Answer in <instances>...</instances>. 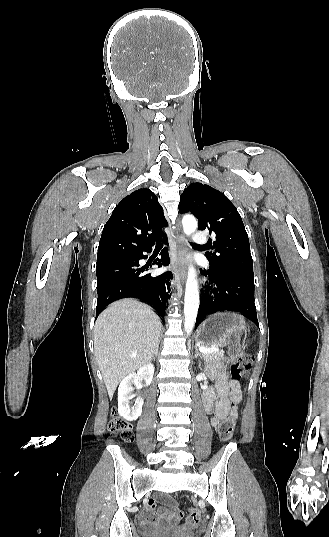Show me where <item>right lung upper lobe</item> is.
<instances>
[{
    "label": "right lung upper lobe",
    "mask_w": 329,
    "mask_h": 537,
    "mask_svg": "<svg viewBox=\"0 0 329 537\" xmlns=\"http://www.w3.org/2000/svg\"><path fill=\"white\" fill-rule=\"evenodd\" d=\"M163 208L149 189H138L122 199L104 226L97 261L122 258L152 248L165 238Z\"/></svg>",
    "instance_id": "cb5924a9"
}]
</instances>
